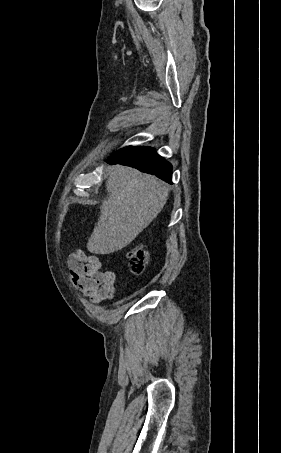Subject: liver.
Wrapping results in <instances>:
<instances>
[{"mask_svg": "<svg viewBox=\"0 0 281 453\" xmlns=\"http://www.w3.org/2000/svg\"><path fill=\"white\" fill-rule=\"evenodd\" d=\"M107 168L108 194L100 204V216L87 243L94 255L115 253L132 243L162 210L169 192L152 174L121 164Z\"/></svg>", "mask_w": 281, "mask_h": 453, "instance_id": "1", "label": "liver"}]
</instances>
